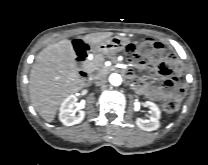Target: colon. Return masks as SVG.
<instances>
[{
  "instance_id": "colon-1",
  "label": "colon",
  "mask_w": 208,
  "mask_h": 165,
  "mask_svg": "<svg viewBox=\"0 0 208 165\" xmlns=\"http://www.w3.org/2000/svg\"><path fill=\"white\" fill-rule=\"evenodd\" d=\"M126 53L129 59L136 64H141L143 61L150 57L153 61H159L166 54L164 47L159 42L150 39H143L139 43H129L126 46ZM181 100L180 93L174 97L168 98L163 103V110L166 113H172L179 107Z\"/></svg>"
}]
</instances>
